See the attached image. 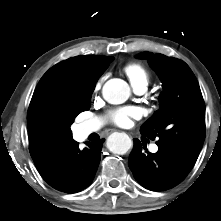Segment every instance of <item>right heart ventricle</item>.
<instances>
[{"instance_id":"e07e8e85","label":"right heart ventricle","mask_w":221,"mask_h":221,"mask_svg":"<svg viewBox=\"0 0 221 221\" xmlns=\"http://www.w3.org/2000/svg\"><path fill=\"white\" fill-rule=\"evenodd\" d=\"M124 72L128 76L133 86L139 84L148 85L150 76L146 68L140 63H129L124 67Z\"/></svg>"}]
</instances>
